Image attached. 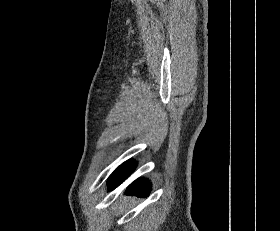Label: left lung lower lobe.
<instances>
[{
    "label": "left lung lower lobe",
    "instance_id": "1",
    "mask_svg": "<svg viewBox=\"0 0 280 231\" xmlns=\"http://www.w3.org/2000/svg\"><path fill=\"white\" fill-rule=\"evenodd\" d=\"M136 164L133 160H128L120 165L109 178V189L120 185L135 169ZM151 185L143 178L136 180L128 187L127 194L146 197L150 193Z\"/></svg>",
    "mask_w": 280,
    "mask_h": 231
}]
</instances>
